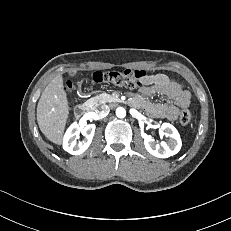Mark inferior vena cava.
<instances>
[{
	"instance_id": "602c4592",
	"label": "inferior vena cava",
	"mask_w": 231,
	"mask_h": 231,
	"mask_svg": "<svg viewBox=\"0 0 231 231\" xmlns=\"http://www.w3.org/2000/svg\"><path fill=\"white\" fill-rule=\"evenodd\" d=\"M110 112V108L108 105H101L99 108H98V114L100 117H106Z\"/></svg>"
}]
</instances>
